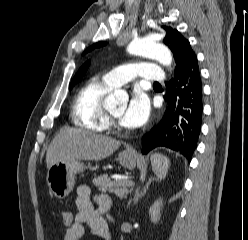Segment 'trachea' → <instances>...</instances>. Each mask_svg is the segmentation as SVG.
Wrapping results in <instances>:
<instances>
[{"label": "trachea", "instance_id": "trachea-1", "mask_svg": "<svg viewBox=\"0 0 248 240\" xmlns=\"http://www.w3.org/2000/svg\"><path fill=\"white\" fill-rule=\"evenodd\" d=\"M154 84H159L158 82H155Z\"/></svg>", "mask_w": 248, "mask_h": 240}]
</instances>
